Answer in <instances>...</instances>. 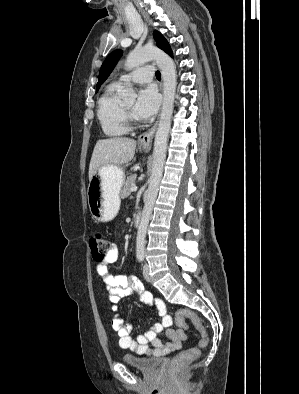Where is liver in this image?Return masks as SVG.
<instances>
[{
  "instance_id": "liver-1",
  "label": "liver",
  "mask_w": 299,
  "mask_h": 394,
  "mask_svg": "<svg viewBox=\"0 0 299 394\" xmlns=\"http://www.w3.org/2000/svg\"><path fill=\"white\" fill-rule=\"evenodd\" d=\"M135 148L136 141L127 137L98 140L89 165V179L102 166H120L135 160Z\"/></svg>"
}]
</instances>
